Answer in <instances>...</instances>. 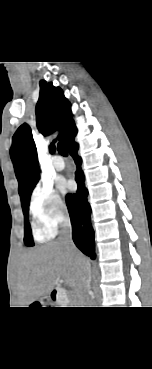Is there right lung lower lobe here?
Wrapping results in <instances>:
<instances>
[{"mask_svg":"<svg viewBox=\"0 0 152 369\" xmlns=\"http://www.w3.org/2000/svg\"><path fill=\"white\" fill-rule=\"evenodd\" d=\"M67 147L77 165L75 173V180L78 184L77 192L66 196V203L72 223L73 241L85 255L94 259V231L90 221L91 208L87 201L88 190L84 185V174L81 169L82 159L77 154L78 144L74 140Z\"/></svg>","mask_w":152,"mask_h":369,"instance_id":"obj_1","label":"right lung lower lobe"}]
</instances>
